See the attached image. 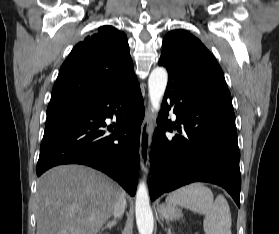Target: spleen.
<instances>
[{"instance_id": "1", "label": "spleen", "mask_w": 279, "mask_h": 234, "mask_svg": "<svg viewBox=\"0 0 279 234\" xmlns=\"http://www.w3.org/2000/svg\"><path fill=\"white\" fill-rule=\"evenodd\" d=\"M167 203L204 214L205 234H231V212L223 195L213 198L212 191L202 183H192L172 192Z\"/></svg>"}]
</instances>
